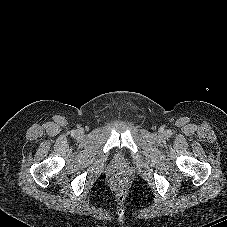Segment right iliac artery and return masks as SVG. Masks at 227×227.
I'll return each instance as SVG.
<instances>
[{
    "mask_svg": "<svg viewBox=\"0 0 227 227\" xmlns=\"http://www.w3.org/2000/svg\"><path fill=\"white\" fill-rule=\"evenodd\" d=\"M71 134L73 135L74 134V131H71Z\"/></svg>",
    "mask_w": 227,
    "mask_h": 227,
    "instance_id": "82829eb1",
    "label": "right iliac artery"
}]
</instances>
